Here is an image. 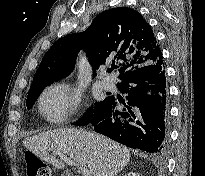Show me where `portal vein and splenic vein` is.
Here are the masks:
<instances>
[{"label": "portal vein and splenic vein", "mask_w": 205, "mask_h": 176, "mask_svg": "<svg viewBox=\"0 0 205 176\" xmlns=\"http://www.w3.org/2000/svg\"><path fill=\"white\" fill-rule=\"evenodd\" d=\"M53 153L58 155L60 157V159L65 161L68 165L77 166L82 171L83 176H91V173L87 168L78 165L77 163H75L74 161L69 159L67 156L62 154L61 152L54 151Z\"/></svg>", "instance_id": "18ae733b"}]
</instances>
